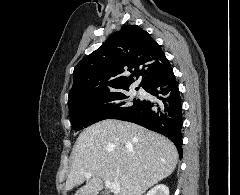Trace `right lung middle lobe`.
<instances>
[{
    "mask_svg": "<svg viewBox=\"0 0 240 195\" xmlns=\"http://www.w3.org/2000/svg\"><path fill=\"white\" fill-rule=\"evenodd\" d=\"M125 91L128 89L101 97L80 98L68 104L73 129L80 130L101 120L114 119L141 102L129 99Z\"/></svg>",
    "mask_w": 240,
    "mask_h": 195,
    "instance_id": "1",
    "label": "right lung middle lobe"
}]
</instances>
